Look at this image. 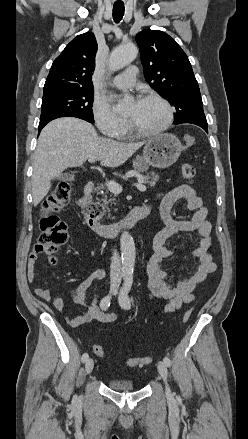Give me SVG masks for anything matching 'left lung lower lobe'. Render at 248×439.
Segmentation results:
<instances>
[{
  "label": "left lung lower lobe",
  "mask_w": 248,
  "mask_h": 439,
  "mask_svg": "<svg viewBox=\"0 0 248 439\" xmlns=\"http://www.w3.org/2000/svg\"><path fill=\"white\" fill-rule=\"evenodd\" d=\"M187 123H192V124L198 125V126L202 127L208 133L207 122H187Z\"/></svg>",
  "instance_id": "obj_1"
}]
</instances>
